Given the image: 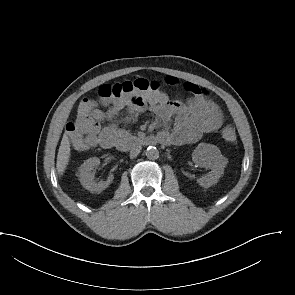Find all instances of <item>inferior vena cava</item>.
Returning a JSON list of instances; mask_svg holds the SVG:
<instances>
[{"label": "inferior vena cava", "instance_id": "1", "mask_svg": "<svg viewBox=\"0 0 295 295\" xmlns=\"http://www.w3.org/2000/svg\"><path fill=\"white\" fill-rule=\"evenodd\" d=\"M141 146L136 145L130 150V158H135L140 153Z\"/></svg>", "mask_w": 295, "mask_h": 295}]
</instances>
